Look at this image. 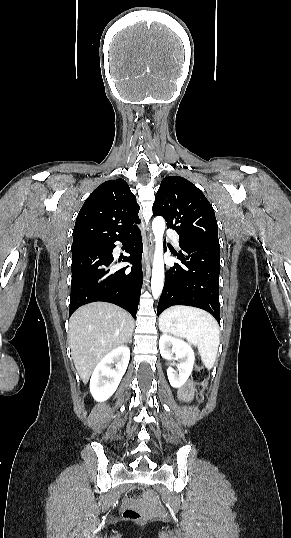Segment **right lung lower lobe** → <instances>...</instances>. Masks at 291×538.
Returning <instances> with one entry per match:
<instances>
[{
    "instance_id": "obj_1",
    "label": "right lung lower lobe",
    "mask_w": 291,
    "mask_h": 538,
    "mask_svg": "<svg viewBox=\"0 0 291 538\" xmlns=\"http://www.w3.org/2000/svg\"><path fill=\"white\" fill-rule=\"evenodd\" d=\"M116 241L128 248L130 256L123 261L131 262V269L113 267L117 263L112 255ZM142 251L141 233L137 228L108 245L73 254L69 315L84 304L105 301L124 308L135 318L143 280Z\"/></svg>"
}]
</instances>
